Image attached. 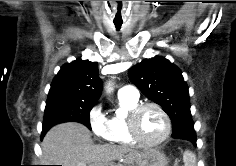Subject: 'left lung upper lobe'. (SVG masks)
Segmentation results:
<instances>
[{
	"instance_id": "left-lung-upper-lobe-1",
	"label": "left lung upper lobe",
	"mask_w": 236,
	"mask_h": 166,
	"mask_svg": "<svg viewBox=\"0 0 236 166\" xmlns=\"http://www.w3.org/2000/svg\"><path fill=\"white\" fill-rule=\"evenodd\" d=\"M129 77L142 93L163 107L172 124L194 127L189 91L181 71L164 57L144 59L129 70Z\"/></svg>"
}]
</instances>
